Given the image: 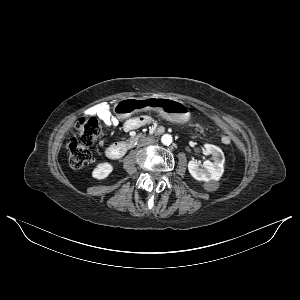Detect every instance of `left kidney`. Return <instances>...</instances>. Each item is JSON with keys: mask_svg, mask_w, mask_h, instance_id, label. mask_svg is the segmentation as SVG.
I'll list each match as a JSON object with an SVG mask.
<instances>
[{"mask_svg": "<svg viewBox=\"0 0 300 300\" xmlns=\"http://www.w3.org/2000/svg\"><path fill=\"white\" fill-rule=\"evenodd\" d=\"M204 147L206 153L212 155L213 161H205L203 163L204 168H200L197 161L191 160L188 163L189 173L194 179L198 181H218L224 172V153L219 147L215 145L205 144Z\"/></svg>", "mask_w": 300, "mask_h": 300, "instance_id": "5707ae66", "label": "left kidney"}]
</instances>
